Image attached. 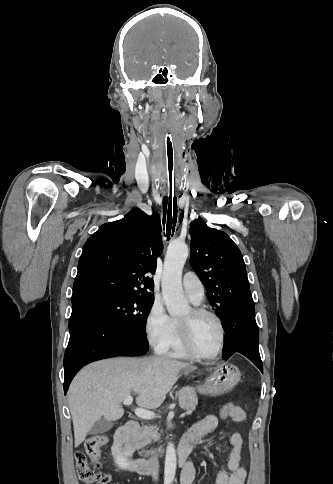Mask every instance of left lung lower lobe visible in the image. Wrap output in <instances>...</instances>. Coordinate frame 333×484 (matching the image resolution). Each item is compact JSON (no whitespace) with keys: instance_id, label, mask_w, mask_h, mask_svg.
I'll return each mask as SVG.
<instances>
[{"instance_id":"obj_1","label":"left lung lower lobe","mask_w":333,"mask_h":484,"mask_svg":"<svg viewBox=\"0 0 333 484\" xmlns=\"http://www.w3.org/2000/svg\"><path fill=\"white\" fill-rule=\"evenodd\" d=\"M222 320L226 343L222 354L223 360L239 352L262 371L263 365L258 349L259 331L251 293H245L229 304Z\"/></svg>"}]
</instances>
